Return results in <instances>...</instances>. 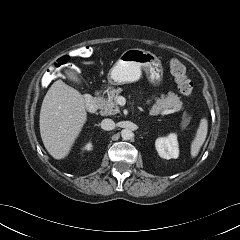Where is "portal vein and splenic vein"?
I'll use <instances>...</instances> for the list:
<instances>
[{
  "instance_id": "1",
  "label": "portal vein and splenic vein",
  "mask_w": 240,
  "mask_h": 240,
  "mask_svg": "<svg viewBox=\"0 0 240 240\" xmlns=\"http://www.w3.org/2000/svg\"><path fill=\"white\" fill-rule=\"evenodd\" d=\"M174 111H175L174 109H172V110H166V111L163 112V114L173 113Z\"/></svg>"
}]
</instances>
